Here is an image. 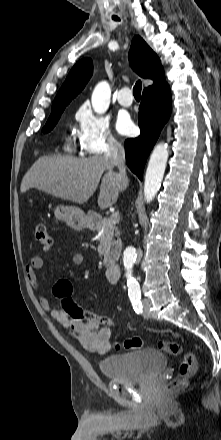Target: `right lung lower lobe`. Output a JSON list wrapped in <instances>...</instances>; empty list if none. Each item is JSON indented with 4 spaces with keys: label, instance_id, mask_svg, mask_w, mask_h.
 Returning a JSON list of instances; mask_svg holds the SVG:
<instances>
[{
    "label": "right lung lower lobe",
    "instance_id": "98d812e1",
    "mask_svg": "<svg viewBox=\"0 0 221 440\" xmlns=\"http://www.w3.org/2000/svg\"><path fill=\"white\" fill-rule=\"evenodd\" d=\"M171 113V96L167 83L143 91L139 106L141 135L125 140L128 167L141 180L144 165Z\"/></svg>",
    "mask_w": 221,
    "mask_h": 440
}]
</instances>
